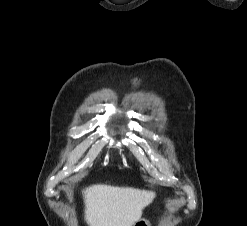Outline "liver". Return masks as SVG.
Instances as JSON below:
<instances>
[{
	"label": "liver",
	"instance_id": "liver-1",
	"mask_svg": "<svg viewBox=\"0 0 247 226\" xmlns=\"http://www.w3.org/2000/svg\"><path fill=\"white\" fill-rule=\"evenodd\" d=\"M88 226H133L155 193L129 187L97 184L82 191Z\"/></svg>",
	"mask_w": 247,
	"mask_h": 226
}]
</instances>
